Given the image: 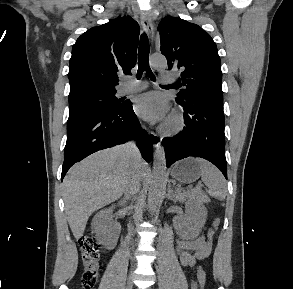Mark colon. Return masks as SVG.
<instances>
[{
	"label": "colon",
	"mask_w": 293,
	"mask_h": 289,
	"mask_svg": "<svg viewBox=\"0 0 293 289\" xmlns=\"http://www.w3.org/2000/svg\"><path fill=\"white\" fill-rule=\"evenodd\" d=\"M220 225V219L213 221V228L217 229ZM79 247L82 254L84 272L82 275L83 289H93L98 278L100 249L95 238L92 235H85L79 240ZM205 283V273L200 270L197 273V280L193 284L192 289L202 288Z\"/></svg>",
	"instance_id": "1"
}]
</instances>
